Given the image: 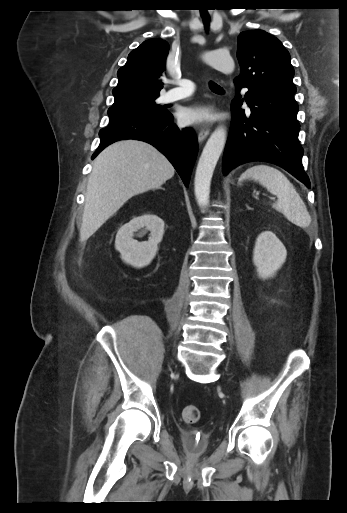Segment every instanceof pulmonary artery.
I'll list each match as a JSON object with an SVG mask.
<instances>
[{"instance_id": "e3ab8cb5", "label": "pulmonary artery", "mask_w": 347, "mask_h": 513, "mask_svg": "<svg viewBox=\"0 0 347 513\" xmlns=\"http://www.w3.org/2000/svg\"><path fill=\"white\" fill-rule=\"evenodd\" d=\"M194 83L187 79L178 81V87L171 89L165 96L166 102L180 100L190 96L194 92Z\"/></svg>"}]
</instances>
